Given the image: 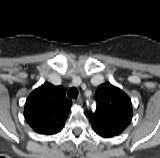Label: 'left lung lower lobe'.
I'll use <instances>...</instances> for the list:
<instances>
[{"label":"left lung lower lobe","instance_id":"left-lung-lower-lobe-1","mask_svg":"<svg viewBox=\"0 0 160 158\" xmlns=\"http://www.w3.org/2000/svg\"><path fill=\"white\" fill-rule=\"evenodd\" d=\"M94 131L101 137H104V138H111V137H114L112 134L108 133V132H105L103 130H100L96 127H93Z\"/></svg>","mask_w":160,"mask_h":158}]
</instances>
